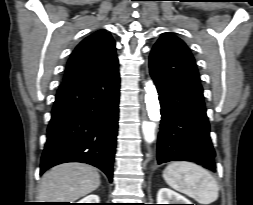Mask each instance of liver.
Masks as SVG:
<instances>
[{
  "label": "liver",
  "instance_id": "1",
  "mask_svg": "<svg viewBox=\"0 0 253 205\" xmlns=\"http://www.w3.org/2000/svg\"><path fill=\"white\" fill-rule=\"evenodd\" d=\"M99 186L100 175L96 168L83 163L61 164L42 176L38 200L72 203Z\"/></svg>",
  "mask_w": 253,
  "mask_h": 205
}]
</instances>
